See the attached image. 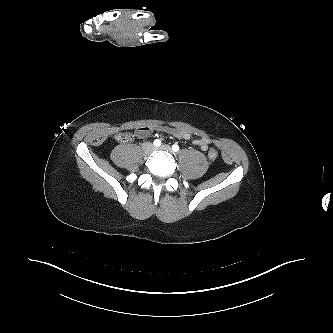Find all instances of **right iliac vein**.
<instances>
[{
  "label": "right iliac vein",
  "mask_w": 333,
  "mask_h": 333,
  "mask_svg": "<svg viewBox=\"0 0 333 333\" xmlns=\"http://www.w3.org/2000/svg\"><path fill=\"white\" fill-rule=\"evenodd\" d=\"M142 149L145 154H150L153 151L154 147H153L152 143L146 142L142 145Z\"/></svg>",
  "instance_id": "obj_1"
}]
</instances>
